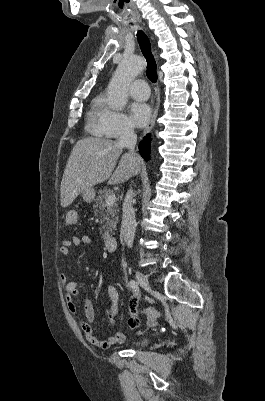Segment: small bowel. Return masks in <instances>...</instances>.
I'll list each match as a JSON object with an SVG mask.
<instances>
[{
    "label": "small bowel",
    "mask_w": 265,
    "mask_h": 401,
    "mask_svg": "<svg viewBox=\"0 0 265 401\" xmlns=\"http://www.w3.org/2000/svg\"><path fill=\"white\" fill-rule=\"evenodd\" d=\"M90 242L91 238L88 235L85 234L73 235L70 238L63 241L62 245L59 248V252L63 256H68L71 250L77 249L82 244H89ZM60 281L65 291L67 308L72 315L78 317L77 307L74 304L73 299L79 296L82 290V285L78 282L69 281L65 273H62L60 275ZM106 290L111 300V305L108 307L106 315L110 320V322L114 324L119 311V305H118L119 293L117 288L111 284L106 285ZM137 307H138V296L134 295L129 301V310H130V316L128 319L129 326H130L129 323L130 317L136 312ZM83 309H84V318L78 317V319L84 337L90 344L99 349H108L115 344H121L125 341L126 339L125 334L119 330L115 331L113 335L109 336L106 339H98L95 336L94 330L92 328V323L95 320V309L92 301L88 297L85 298L84 300Z\"/></svg>",
    "instance_id": "1"
}]
</instances>
